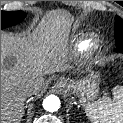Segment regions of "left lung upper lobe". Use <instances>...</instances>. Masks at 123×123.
Instances as JSON below:
<instances>
[{"label": "left lung upper lobe", "mask_w": 123, "mask_h": 123, "mask_svg": "<svg viewBox=\"0 0 123 123\" xmlns=\"http://www.w3.org/2000/svg\"><path fill=\"white\" fill-rule=\"evenodd\" d=\"M115 40H116V52L123 53V20L116 16L115 18Z\"/></svg>", "instance_id": "5c2ea615"}]
</instances>
